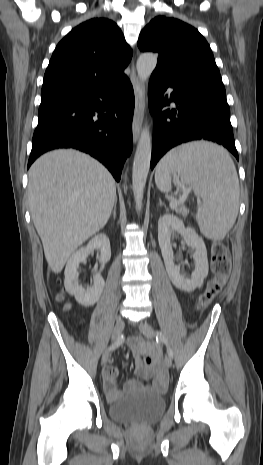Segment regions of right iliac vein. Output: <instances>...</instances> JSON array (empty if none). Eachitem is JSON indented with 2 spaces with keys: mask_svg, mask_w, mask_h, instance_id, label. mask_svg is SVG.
Segmentation results:
<instances>
[{
  "mask_svg": "<svg viewBox=\"0 0 263 465\" xmlns=\"http://www.w3.org/2000/svg\"><path fill=\"white\" fill-rule=\"evenodd\" d=\"M124 326H125V323H124V320L122 318H119L117 321H116V324L114 326V329H113V332H112V341H115L117 340L123 329H124ZM108 358H109V349L105 350V352L103 353L102 355V364H106V362L108 361Z\"/></svg>",
  "mask_w": 263,
  "mask_h": 465,
  "instance_id": "right-iliac-vein-1",
  "label": "right iliac vein"
}]
</instances>
